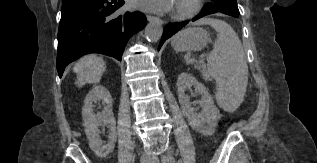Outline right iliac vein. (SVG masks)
Segmentation results:
<instances>
[{
  "label": "right iliac vein",
  "instance_id": "63e3f726",
  "mask_svg": "<svg viewBox=\"0 0 317 163\" xmlns=\"http://www.w3.org/2000/svg\"><path fill=\"white\" fill-rule=\"evenodd\" d=\"M141 163H150V161L147 160V159H145V158H143V159L141 160Z\"/></svg>",
  "mask_w": 317,
  "mask_h": 163
}]
</instances>
